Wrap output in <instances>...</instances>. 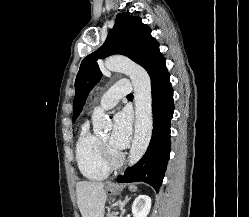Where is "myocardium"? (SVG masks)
<instances>
[{
    "label": "myocardium",
    "mask_w": 249,
    "mask_h": 217,
    "mask_svg": "<svg viewBox=\"0 0 249 217\" xmlns=\"http://www.w3.org/2000/svg\"><path fill=\"white\" fill-rule=\"evenodd\" d=\"M101 147L104 160L109 168H117L122 165L124 161L123 154L110 149L105 142H101Z\"/></svg>",
    "instance_id": "f54148a6"
}]
</instances>
